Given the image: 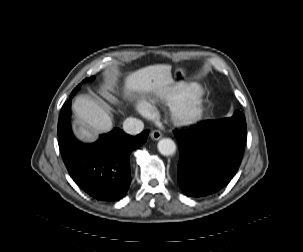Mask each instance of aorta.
<instances>
[{
    "mask_svg": "<svg viewBox=\"0 0 303 252\" xmlns=\"http://www.w3.org/2000/svg\"><path fill=\"white\" fill-rule=\"evenodd\" d=\"M157 147L159 152L164 156H170L176 152L175 142L170 138L159 140Z\"/></svg>",
    "mask_w": 303,
    "mask_h": 252,
    "instance_id": "aorta-1",
    "label": "aorta"
}]
</instances>
